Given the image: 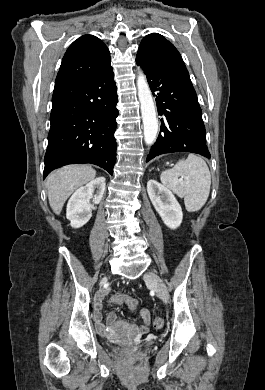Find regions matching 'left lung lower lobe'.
I'll return each instance as SVG.
<instances>
[{
  "mask_svg": "<svg viewBox=\"0 0 265 390\" xmlns=\"http://www.w3.org/2000/svg\"><path fill=\"white\" fill-rule=\"evenodd\" d=\"M156 96L161 128L146 162L156 156L191 152L210 158L206 145L202 111L186 69L154 66L136 57Z\"/></svg>",
  "mask_w": 265,
  "mask_h": 390,
  "instance_id": "0a47b994",
  "label": "left lung lower lobe"
}]
</instances>
